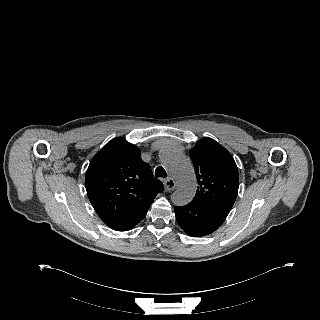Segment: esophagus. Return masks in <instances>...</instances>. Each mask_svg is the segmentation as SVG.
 Wrapping results in <instances>:
<instances>
[{"mask_svg": "<svg viewBox=\"0 0 320 320\" xmlns=\"http://www.w3.org/2000/svg\"><path fill=\"white\" fill-rule=\"evenodd\" d=\"M164 186L167 191H173L176 188V182L173 178H167V180L164 183Z\"/></svg>", "mask_w": 320, "mask_h": 320, "instance_id": "obj_1", "label": "esophagus"}]
</instances>
